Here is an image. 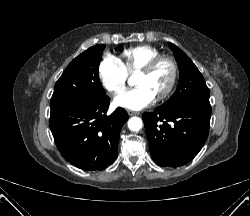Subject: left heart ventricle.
<instances>
[{
    "label": "left heart ventricle",
    "mask_w": 250,
    "mask_h": 216,
    "mask_svg": "<svg viewBox=\"0 0 250 216\" xmlns=\"http://www.w3.org/2000/svg\"><path fill=\"white\" fill-rule=\"evenodd\" d=\"M169 74V67L163 63L150 74H138L136 82L138 85L147 86L156 95L166 86Z\"/></svg>",
    "instance_id": "1"
}]
</instances>
